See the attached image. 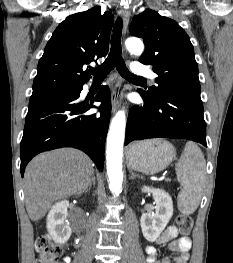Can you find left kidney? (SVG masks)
<instances>
[{
  "label": "left kidney",
  "mask_w": 233,
  "mask_h": 263,
  "mask_svg": "<svg viewBox=\"0 0 233 263\" xmlns=\"http://www.w3.org/2000/svg\"><path fill=\"white\" fill-rule=\"evenodd\" d=\"M142 192L152 193L156 203L155 213H145L140 219L143 236L149 242H154L173 215V202L171 196L161 189L144 186Z\"/></svg>",
  "instance_id": "obj_1"
}]
</instances>
